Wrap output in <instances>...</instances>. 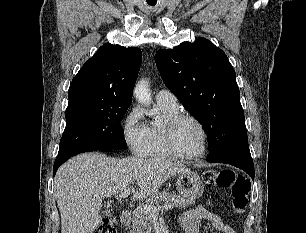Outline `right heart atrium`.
<instances>
[{"label": "right heart atrium", "mask_w": 306, "mask_h": 233, "mask_svg": "<svg viewBox=\"0 0 306 233\" xmlns=\"http://www.w3.org/2000/svg\"><path fill=\"white\" fill-rule=\"evenodd\" d=\"M122 134L133 155L137 157L148 155L149 128L144 122L143 114L139 107H133L124 118Z\"/></svg>", "instance_id": "1"}]
</instances>
